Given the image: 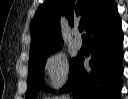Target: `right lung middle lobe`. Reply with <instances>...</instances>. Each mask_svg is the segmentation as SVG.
Returning <instances> with one entry per match:
<instances>
[{
	"label": "right lung middle lobe",
	"instance_id": "right-lung-middle-lobe-1",
	"mask_svg": "<svg viewBox=\"0 0 128 99\" xmlns=\"http://www.w3.org/2000/svg\"><path fill=\"white\" fill-rule=\"evenodd\" d=\"M56 50L29 58L28 88L26 91V99L34 97L41 89L53 92L45 86L43 76L46 59L50 53H53ZM75 59L76 58L70 60V70L75 62Z\"/></svg>",
	"mask_w": 128,
	"mask_h": 99
}]
</instances>
